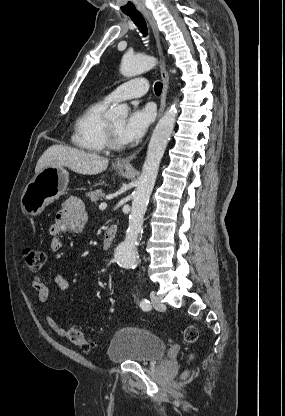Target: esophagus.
I'll list each match as a JSON object with an SVG mask.
<instances>
[{
  "instance_id": "obj_1",
  "label": "esophagus",
  "mask_w": 285,
  "mask_h": 416,
  "mask_svg": "<svg viewBox=\"0 0 285 416\" xmlns=\"http://www.w3.org/2000/svg\"><path fill=\"white\" fill-rule=\"evenodd\" d=\"M142 13L147 18V20L149 21L151 25L154 37L156 39L160 59H161L160 73H161V78L163 80V90H162V95H161V105L158 111V118H159L162 115L163 110L165 109V105H166L167 92L169 88V75L166 70L165 60L163 56V49H162L161 42H160V35H159L157 23L151 12H142ZM143 146L144 144L133 154L125 158H120V160H118L117 162L118 165L131 166V161L136 158L137 154L142 150Z\"/></svg>"
}]
</instances>
